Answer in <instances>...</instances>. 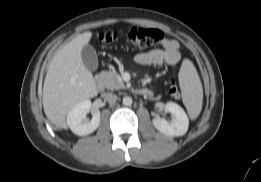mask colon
Listing matches in <instances>:
<instances>
[{"label":"colon","instance_id":"colon-1","mask_svg":"<svg viewBox=\"0 0 261 182\" xmlns=\"http://www.w3.org/2000/svg\"><path fill=\"white\" fill-rule=\"evenodd\" d=\"M127 42L135 49L154 48L162 45L165 42V35L157 29L133 27L126 34ZM99 40L103 43H115L119 39V34L116 32H102L99 34ZM169 94L173 98L179 97V91L172 82L169 88Z\"/></svg>","mask_w":261,"mask_h":182}]
</instances>
